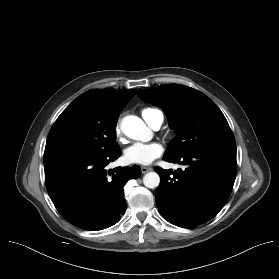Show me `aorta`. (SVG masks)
I'll use <instances>...</instances> for the list:
<instances>
[{
    "instance_id": "obj_1",
    "label": "aorta",
    "mask_w": 279,
    "mask_h": 279,
    "mask_svg": "<svg viewBox=\"0 0 279 279\" xmlns=\"http://www.w3.org/2000/svg\"><path fill=\"white\" fill-rule=\"evenodd\" d=\"M122 132L129 138L139 141H147L151 138V131L137 116L129 115L122 119ZM160 183V177L156 172H148L143 177V184L150 189L156 188Z\"/></svg>"
}]
</instances>
